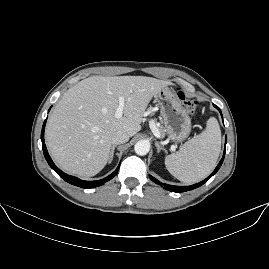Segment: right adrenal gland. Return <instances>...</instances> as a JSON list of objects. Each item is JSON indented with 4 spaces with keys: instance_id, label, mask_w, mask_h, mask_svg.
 Instances as JSON below:
<instances>
[{
    "instance_id": "2a0ac1e0",
    "label": "right adrenal gland",
    "mask_w": 269,
    "mask_h": 269,
    "mask_svg": "<svg viewBox=\"0 0 269 269\" xmlns=\"http://www.w3.org/2000/svg\"><path fill=\"white\" fill-rule=\"evenodd\" d=\"M115 147H117V145H113V146H112L111 153H110V160H109V162H111L112 159H113V155H114Z\"/></svg>"
}]
</instances>
